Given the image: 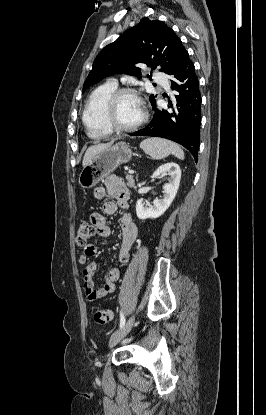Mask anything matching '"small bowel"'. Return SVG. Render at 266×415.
Returning <instances> with one entry per match:
<instances>
[{"label":"small bowel","mask_w":266,"mask_h":415,"mask_svg":"<svg viewBox=\"0 0 266 415\" xmlns=\"http://www.w3.org/2000/svg\"><path fill=\"white\" fill-rule=\"evenodd\" d=\"M111 196L115 201H107L103 204V213L94 212L91 214L90 221L95 227L96 232L101 237H107L111 231L107 223L105 215H114L121 211L120 221L122 230V244L119 251V261L126 263L129 259V252L132 244L135 242L138 229L133 222L131 215L126 212L127 200L129 191L122 178L112 175L109 176L103 186H99L94 190V197L98 200ZM97 252V247L94 244L84 246L83 252L79 256V263L84 265L83 281L85 295L89 301H95L99 298L113 293L116 289V282L121 276V271L118 268H109L104 276V284L100 288H95L93 277L97 269L95 262L87 263V259L94 256Z\"/></svg>","instance_id":"c3829d8e"}]
</instances>
